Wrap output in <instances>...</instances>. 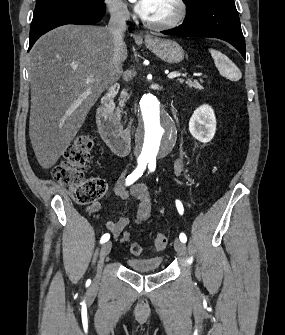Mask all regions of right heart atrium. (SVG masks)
<instances>
[{
    "label": "right heart atrium",
    "instance_id": "right-heart-atrium-1",
    "mask_svg": "<svg viewBox=\"0 0 285 335\" xmlns=\"http://www.w3.org/2000/svg\"><path fill=\"white\" fill-rule=\"evenodd\" d=\"M106 7L116 21L124 22L130 18V8L125 1H106Z\"/></svg>",
    "mask_w": 285,
    "mask_h": 335
}]
</instances>
